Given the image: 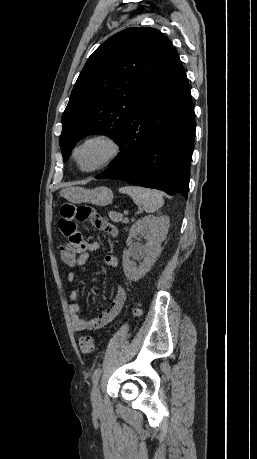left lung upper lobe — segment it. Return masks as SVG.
Masks as SVG:
<instances>
[{"label":"left lung upper lobe","mask_w":257,"mask_h":459,"mask_svg":"<svg viewBox=\"0 0 257 459\" xmlns=\"http://www.w3.org/2000/svg\"><path fill=\"white\" fill-rule=\"evenodd\" d=\"M173 50L159 30L131 27L111 36L93 52L62 114L64 161L74 145L89 134L107 135L119 143L141 92Z\"/></svg>","instance_id":"obj_1"}]
</instances>
